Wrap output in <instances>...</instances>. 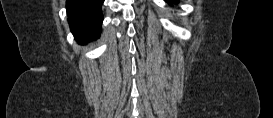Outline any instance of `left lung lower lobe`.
Instances as JSON below:
<instances>
[{
	"mask_svg": "<svg viewBox=\"0 0 273 118\" xmlns=\"http://www.w3.org/2000/svg\"><path fill=\"white\" fill-rule=\"evenodd\" d=\"M167 2L172 5V4H177L178 1L177 0H167Z\"/></svg>",
	"mask_w": 273,
	"mask_h": 118,
	"instance_id": "1",
	"label": "left lung lower lobe"
}]
</instances>
